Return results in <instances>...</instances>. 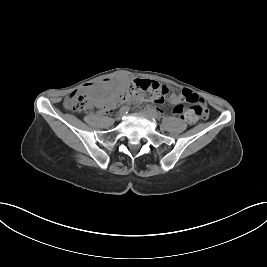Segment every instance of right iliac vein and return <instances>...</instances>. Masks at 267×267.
<instances>
[{
    "label": "right iliac vein",
    "instance_id": "63e3f726",
    "mask_svg": "<svg viewBox=\"0 0 267 267\" xmlns=\"http://www.w3.org/2000/svg\"><path fill=\"white\" fill-rule=\"evenodd\" d=\"M123 116H124V114L119 113L118 116L116 117V120H121Z\"/></svg>",
    "mask_w": 267,
    "mask_h": 267
}]
</instances>
